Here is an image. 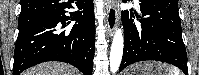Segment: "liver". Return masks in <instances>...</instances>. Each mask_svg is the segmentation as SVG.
<instances>
[{
    "mask_svg": "<svg viewBox=\"0 0 199 75\" xmlns=\"http://www.w3.org/2000/svg\"><path fill=\"white\" fill-rule=\"evenodd\" d=\"M22 75H81V73L65 63L45 62L24 71Z\"/></svg>",
    "mask_w": 199,
    "mask_h": 75,
    "instance_id": "1",
    "label": "liver"
}]
</instances>
